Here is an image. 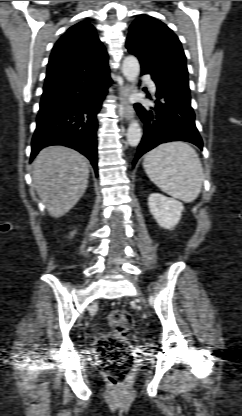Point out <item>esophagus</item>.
<instances>
[{
  "label": "esophagus",
  "mask_w": 242,
  "mask_h": 416,
  "mask_svg": "<svg viewBox=\"0 0 242 416\" xmlns=\"http://www.w3.org/2000/svg\"><path fill=\"white\" fill-rule=\"evenodd\" d=\"M133 92L131 85H125L120 91L121 114L127 120L131 121L134 117L133 106L129 102V96Z\"/></svg>",
  "instance_id": "esophagus-1"
}]
</instances>
